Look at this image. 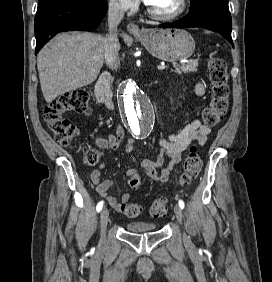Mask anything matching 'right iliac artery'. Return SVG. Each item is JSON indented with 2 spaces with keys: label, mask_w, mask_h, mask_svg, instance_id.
Masks as SVG:
<instances>
[{
  "label": "right iliac artery",
  "mask_w": 272,
  "mask_h": 282,
  "mask_svg": "<svg viewBox=\"0 0 272 282\" xmlns=\"http://www.w3.org/2000/svg\"><path fill=\"white\" fill-rule=\"evenodd\" d=\"M103 204H104L103 201H100V202L97 204V206H96L97 212H100V211H101V209H102V207H103Z\"/></svg>",
  "instance_id": "right-iliac-artery-1"
}]
</instances>
